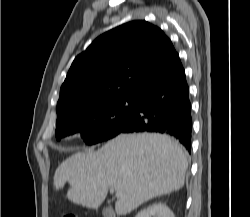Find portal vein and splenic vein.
Here are the masks:
<instances>
[{
  "label": "portal vein and splenic vein",
  "instance_id": "obj_1",
  "mask_svg": "<svg viewBox=\"0 0 250 217\" xmlns=\"http://www.w3.org/2000/svg\"><path fill=\"white\" fill-rule=\"evenodd\" d=\"M115 189L113 187H110V193H113Z\"/></svg>",
  "mask_w": 250,
  "mask_h": 217
}]
</instances>
